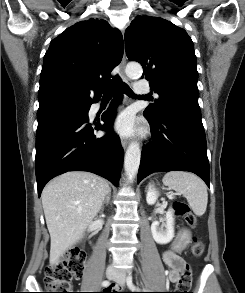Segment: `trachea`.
<instances>
[{"mask_svg": "<svg viewBox=\"0 0 245 293\" xmlns=\"http://www.w3.org/2000/svg\"><path fill=\"white\" fill-rule=\"evenodd\" d=\"M122 89L127 96H129V97L135 96V94L133 93V91L131 90V88L127 84H123ZM103 93H104L103 98L111 99L113 96V92H112L111 88L104 89ZM144 97H148V96L146 95Z\"/></svg>", "mask_w": 245, "mask_h": 293, "instance_id": "obj_1", "label": "trachea"}]
</instances>
